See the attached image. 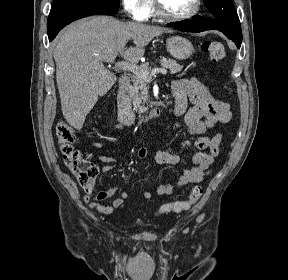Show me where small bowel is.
Wrapping results in <instances>:
<instances>
[{"mask_svg": "<svg viewBox=\"0 0 288 280\" xmlns=\"http://www.w3.org/2000/svg\"><path fill=\"white\" fill-rule=\"evenodd\" d=\"M171 89L174 97V113L177 115L185 114L184 121L177 123L174 130L183 131L190 137L183 141L181 146L193 149L191 154L192 167L183 170L176 182L159 185L155 193L147 189L143 190L142 194L146 199H151L154 194L169 195L188 184L201 182L211 171V165L219 153L222 139L221 134L210 137L206 132L217 123H228L232 117L230 105L212 96L206 86L194 77L174 81ZM188 101L191 103L189 109H187ZM121 128V126L116 127L117 130ZM103 145V141L93 143L96 148H101ZM207 149L208 152L205 151ZM147 153L145 147H139L136 156L139 159H144ZM98 158L103 162V173L110 172L116 164V160L107 155L99 154ZM155 160L159 164L175 165L180 162V157L177 154L159 150L155 155ZM118 189V186H114L99 192L95 197L87 193L83 198L93 210L102 214H111L123 205L124 201L129 198V193L122 191L118 197L112 200L110 205H102L99 201L112 197Z\"/></svg>", "mask_w": 288, "mask_h": 280, "instance_id": "c3829d8e", "label": "small bowel"}]
</instances>
